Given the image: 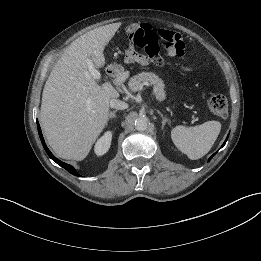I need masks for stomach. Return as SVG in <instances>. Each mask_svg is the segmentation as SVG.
Wrapping results in <instances>:
<instances>
[{"instance_id": "stomach-1", "label": "stomach", "mask_w": 261, "mask_h": 261, "mask_svg": "<svg viewBox=\"0 0 261 261\" xmlns=\"http://www.w3.org/2000/svg\"><path fill=\"white\" fill-rule=\"evenodd\" d=\"M117 67V65H113V68H116Z\"/></svg>"}]
</instances>
